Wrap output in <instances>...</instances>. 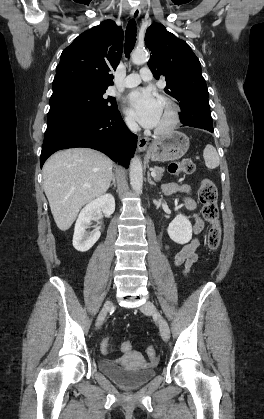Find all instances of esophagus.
Listing matches in <instances>:
<instances>
[{
    "mask_svg": "<svg viewBox=\"0 0 264 419\" xmlns=\"http://www.w3.org/2000/svg\"><path fill=\"white\" fill-rule=\"evenodd\" d=\"M140 13H141V11H140L139 8L132 9V11L130 13L131 18L133 20H137L140 16ZM147 145H148V139L146 137L139 136L138 137V143H137L138 151H140V152L145 151L146 148H147Z\"/></svg>",
    "mask_w": 264,
    "mask_h": 419,
    "instance_id": "34e87169",
    "label": "esophagus"
}]
</instances>
